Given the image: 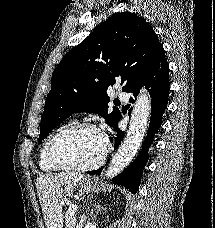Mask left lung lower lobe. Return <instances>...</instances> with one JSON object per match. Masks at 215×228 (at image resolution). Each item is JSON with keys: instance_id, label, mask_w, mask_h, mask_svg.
I'll return each mask as SVG.
<instances>
[{"instance_id": "0a47b994", "label": "left lung lower lobe", "mask_w": 215, "mask_h": 228, "mask_svg": "<svg viewBox=\"0 0 215 228\" xmlns=\"http://www.w3.org/2000/svg\"><path fill=\"white\" fill-rule=\"evenodd\" d=\"M143 86H146L149 90L152 105L147 137L137 158L121 174L112 179L115 184L125 186L132 193H136L139 188L142 171L148 160V148L154 140V134L160 127L162 115L167 108L170 90L169 66L163 48L158 52L143 78L128 92L132 94L130 98L131 103L134 102V98L137 97ZM114 129L117 131V138L115 140V149H117L124 138V133L118 129V124ZM101 170L102 168L95 171H88L87 173L96 175L99 174Z\"/></svg>"}]
</instances>
